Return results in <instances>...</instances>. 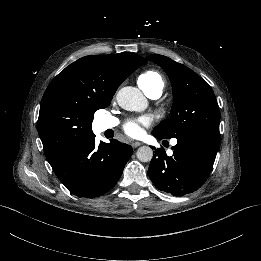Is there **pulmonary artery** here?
I'll list each match as a JSON object with an SVG mask.
<instances>
[{
	"instance_id": "e3ab8cb5",
	"label": "pulmonary artery",
	"mask_w": 261,
	"mask_h": 261,
	"mask_svg": "<svg viewBox=\"0 0 261 261\" xmlns=\"http://www.w3.org/2000/svg\"><path fill=\"white\" fill-rule=\"evenodd\" d=\"M162 92L159 90H155L150 92L149 94H147V96L152 99V100H156L161 96ZM120 123L119 119H117L116 117H109L105 120V126L107 128H114L116 126H118ZM177 144V139L174 138L171 140V145H176Z\"/></svg>"
}]
</instances>
